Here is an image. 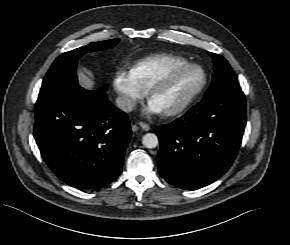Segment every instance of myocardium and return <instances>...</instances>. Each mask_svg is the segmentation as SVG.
Returning <instances> with one entry per match:
<instances>
[{
	"instance_id": "1",
	"label": "myocardium",
	"mask_w": 290,
	"mask_h": 245,
	"mask_svg": "<svg viewBox=\"0 0 290 245\" xmlns=\"http://www.w3.org/2000/svg\"><path fill=\"white\" fill-rule=\"evenodd\" d=\"M189 69H197L201 72L202 74L201 84L181 104L167 111H163L165 116L172 117V116L179 115L183 113L184 111H186L196 101V99L205 90L208 83V74L206 70L201 65H198L195 63H187L184 65L177 66L173 69H170L166 73L157 76L149 85L147 89V95L149 98H151L152 94L159 87H161L166 82H168L172 77Z\"/></svg>"
}]
</instances>
